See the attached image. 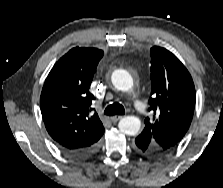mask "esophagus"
Segmentation results:
<instances>
[{
  "label": "esophagus",
  "mask_w": 223,
  "mask_h": 188,
  "mask_svg": "<svg viewBox=\"0 0 223 188\" xmlns=\"http://www.w3.org/2000/svg\"><path fill=\"white\" fill-rule=\"evenodd\" d=\"M122 118H123L122 115H119V116H113V117H111V121H112L113 123H116L117 121H119V120L122 119Z\"/></svg>",
  "instance_id": "34e87169"
}]
</instances>
